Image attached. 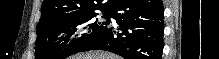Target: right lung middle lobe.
<instances>
[{"mask_svg": "<svg viewBox=\"0 0 219 59\" xmlns=\"http://www.w3.org/2000/svg\"><path fill=\"white\" fill-rule=\"evenodd\" d=\"M98 13H88L48 22L37 27L35 59H64L80 52L102 34L109 22L94 21ZM109 20V11H103Z\"/></svg>", "mask_w": 219, "mask_h": 59, "instance_id": "right-lung-middle-lobe-1", "label": "right lung middle lobe"}]
</instances>
